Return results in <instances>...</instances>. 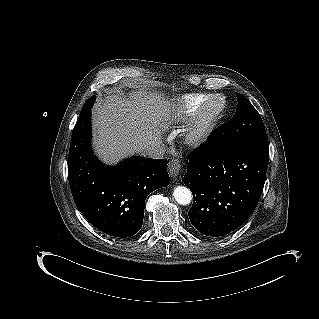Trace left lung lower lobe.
I'll use <instances>...</instances> for the list:
<instances>
[{
    "instance_id": "0a47b994",
    "label": "left lung lower lobe",
    "mask_w": 319,
    "mask_h": 319,
    "mask_svg": "<svg viewBox=\"0 0 319 319\" xmlns=\"http://www.w3.org/2000/svg\"><path fill=\"white\" fill-rule=\"evenodd\" d=\"M215 131L190 155L184 176L194 198L190 221L207 237L225 236L248 219L261 196L269 162L267 141L211 148Z\"/></svg>"
}]
</instances>
